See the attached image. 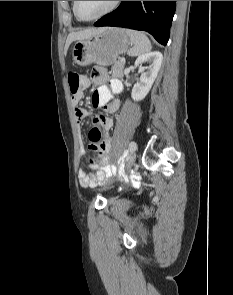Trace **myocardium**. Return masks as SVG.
<instances>
[{"label": "myocardium", "mask_w": 233, "mask_h": 295, "mask_svg": "<svg viewBox=\"0 0 233 295\" xmlns=\"http://www.w3.org/2000/svg\"><path fill=\"white\" fill-rule=\"evenodd\" d=\"M122 1H113V3L102 13L92 17V18H83L82 16H80L79 12H78V1H74L73 2V10H74V14L75 16L83 22H90V21H94L97 20L101 17H104L108 14H110L111 12H113L114 10H116L118 8V6L120 5Z\"/></svg>", "instance_id": "1"}]
</instances>
